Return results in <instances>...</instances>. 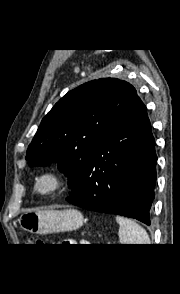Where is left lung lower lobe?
I'll list each match as a JSON object with an SVG mask.
<instances>
[{
  "label": "left lung lower lobe",
  "instance_id": "1",
  "mask_svg": "<svg viewBox=\"0 0 180 294\" xmlns=\"http://www.w3.org/2000/svg\"><path fill=\"white\" fill-rule=\"evenodd\" d=\"M156 162L146 106L137 96L100 143L80 191L66 200L84 209L119 214L150 225Z\"/></svg>",
  "mask_w": 180,
  "mask_h": 294
}]
</instances>
